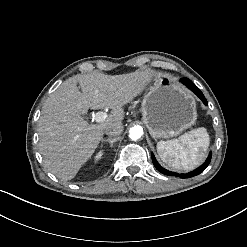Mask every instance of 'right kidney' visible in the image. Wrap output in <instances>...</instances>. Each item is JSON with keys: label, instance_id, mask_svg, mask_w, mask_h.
I'll return each mask as SVG.
<instances>
[{"label": "right kidney", "instance_id": "1", "mask_svg": "<svg viewBox=\"0 0 247 247\" xmlns=\"http://www.w3.org/2000/svg\"><path fill=\"white\" fill-rule=\"evenodd\" d=\"M102 155H103V151L101 150V151H99V152L96 154V156H95V161L100 160L101 157H102Z\"/></svg>", "mask_w": 247, "mask_h": 247}]
</instances>
